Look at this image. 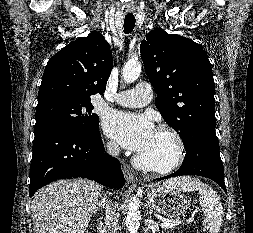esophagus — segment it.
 <instances>
[{
	"instance_id": "obj_1",
	"label": "esophagus",
	"mask_w": 253,
	"mask_h": 233,
	"mask_svg": "<svg viewBox=\"0 0 253 233\" xmlns=\"http://www.w3.org/2000/svg\"><path fill=\"white\" fill-rule=\"evenodd\" d=\"M123 174L128 183H134V175L131 170L126 166H122Z\"/></svg>"
}]
</instances>
